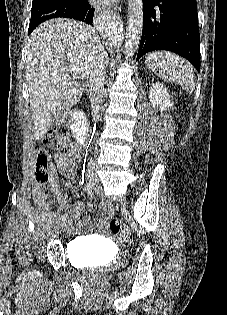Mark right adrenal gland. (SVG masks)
<instances>
[{"instance_id":"right-adrenal-gland-1","label":"right adrenal gland","mask_w":227,"mask_h":315,"mask_svg":"<svg viewBox=\"0 0 227 315\" xmlns=\"http://www.w3.org/2000/svg\"><path fill=\"white\" fill-rule=\"evenodd\" d=\"M105 60H106V66L108 65V58L107 56L105 57Z\"/></svg>"}]
</instances>
